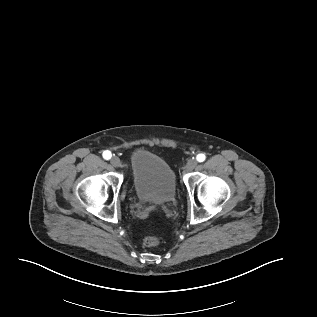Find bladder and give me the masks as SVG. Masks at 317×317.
Instances as JSON below:
<instances>
[{
	"label": "bladder",
	"mask_w": 317,
	"mask_h": 317,
	"mask_svg": "<svg viewBox=\"0 0 317 317\" xmlns=\"http://www.w3.org/2000/svg\"><path fill=\"white\" fill-rule=\"evenodd\" d=\"M132 184L138 199L150 205H164L176 195V177L160 156L137 151L131 156Z\"/></svg>",
	"instance_id": "1"
}]
</instances>
